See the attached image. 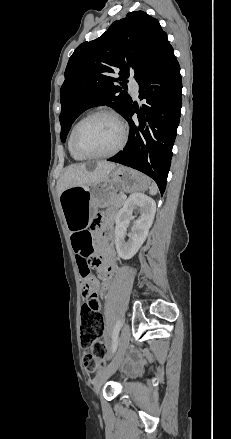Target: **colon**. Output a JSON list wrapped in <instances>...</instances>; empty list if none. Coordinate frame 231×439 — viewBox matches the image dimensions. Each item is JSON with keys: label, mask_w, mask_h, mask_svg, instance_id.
Here are the masks:
<instances>
[{"label": "colon", "mask_w": 231, "mask_h": 439, "mask_svg": "<svg viewBox=\"0 0 231 439\" xmlns=\"http://www.w3.org/2000/svg\"><path fill=\"white\" fill-rule=\"evenodd\" d=\"M100 219L97 218L96 221ZM102 221H107L102 217ZM95 264L92 260L82 270V275L86 276L89 272V267ZM84 288L92 291L94 283H85ZM104 318L103 315L84 304L81 309V326H80V342L85 349L84 366L88 371L98 370L104 365L103 358L107 354V348L100 338L103 334Z\"/></svg>", "instance_id": "1"}]
</instances>
